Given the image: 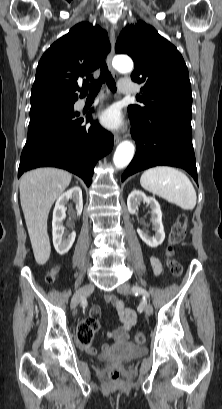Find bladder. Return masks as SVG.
I'll return each mask as SVG.
<instances>
[{
    "label": "bladder",
    "instance_id": "31cf9c89",
    "mask_svg": "<svg viewBox=\"0 0 222 409\" xmlns=\"http://www.w3.org/2000/svg\"><path fill=\"white\" fill-rule=\"evenodd\" d=\"M145 354V348L130 343H122L110 348L99 356L100 361H123L127 362Z\"/></svg>",
    "mask_w": 222,
    "mask_h": 409
}]
</instances>
